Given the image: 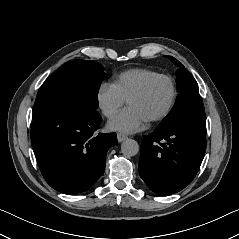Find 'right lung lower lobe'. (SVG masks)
Returning a JSON list of instances; mask_svg holds the SVG:
<instances>
[{
  "label": "right lung lower lobe",
  "mask_w": 239,
  "mask_h": 239,
  "mask_svg": "<svg viewBox=\"0 0 239 239\" xmlns=\"http://www.w3.org/2000/svg\"><path fill=\"white\" fill-rule=\"evenodd\" d=\"M101 121L96 110L75 103L59 104L33 119L32 148L52 188L68 195L81 193L104 173L107 151L117 137L97 135Z\"/></svg>",
  "instance_id": "1"
}]
</instances>
